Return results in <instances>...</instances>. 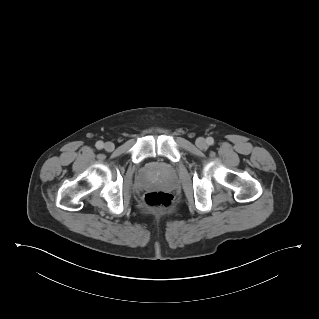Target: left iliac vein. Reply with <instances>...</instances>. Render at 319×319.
I'll list each match as a JSON object with an SVG mask.
<instances>
[{"instance_id": "left-iliac-vein-1", "label": "left iliac vein", "mask_w": 319, "mask_h": 319, "mask_svg": "<svg viewBox=\"0 0 319 319\" xmlns=\"http://www.w3.org/2000/svg\"><path fill=\"white\" fill-rule=\"evenodd\" d=\"M196 146L200 149L207 148V142L203 137H199L196 139Z\"/></svg>"}]
</instances>
